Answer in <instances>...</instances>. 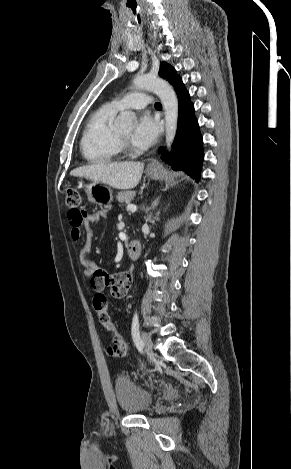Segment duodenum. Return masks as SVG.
Instances as JSON below:
<instances>
[{
	"label": "duodenum",
	"mask_w": 291,
	"mask_h": 469,
	"mask_svg": "<svg viewBox=\"0 0 291 469\" xmlns=\"http://www.w3.org/2000/svg\"><path fill=\"white\" fill-rule=\"evenodd\" d=\"M142 244L140 240H132L127 244V254L131 259H138L141 255Z\"/></svg>",
	"instance_id": "410a0bca"
}]
</instances>
